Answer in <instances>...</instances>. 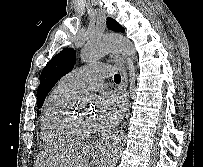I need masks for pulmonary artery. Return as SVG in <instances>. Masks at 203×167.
Instances as JSON below:
<instances>
[{
  "label": "pulmonary artery",
  "mask_w": 203,
  "mask_h": 167,
  "mask_svg": "<svg viewBox=\"0 0 203 167\" xmlns=\"http://www.w3.org/2000/svg\"><path fill=\"white\" fill-rule=\"evenodd\" d=\"M111 71L112 67L106 64L87 65L72 70L61 79V82L74 89H95Z\"/></svg>",
  "instance_id": "1"
}]
</instances>
